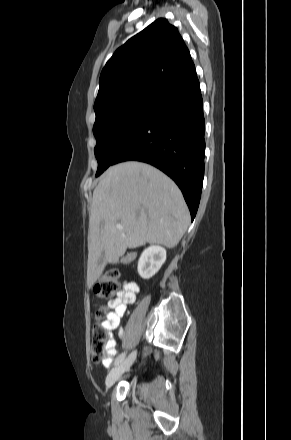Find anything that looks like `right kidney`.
Returning <instances> with one entry per match:
<instances>
[{
	"label": "right kidney",
	"mask_w": 291,
	"mask_h": 440,
	"mask_svg": "<svg viewBox=\"0 0 291 440\" xmlns=\"http://www.w3.org/2000/svg\"><path fill=\"white\" fill-rule=\"evenodd\" d=\"M166 261V250L158 245L146 248L138 261V273L143 279L155 275Z\"/></svg>",
	"instance_id": "ca27d5eb"
}]
</instances>
